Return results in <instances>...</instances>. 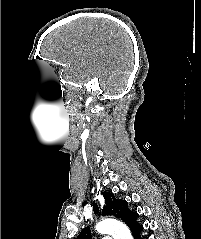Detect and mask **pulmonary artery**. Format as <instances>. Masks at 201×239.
<instances>
[{"mask_svg": "<svg viewBox=\"0 0 201 239\" xmlns=\"http://www.w3.org/2000/svg\"><path fill=\"white\" fill-rule=\"evenodd\" d=\"M101 239H113L111 236H103Z\"/></svg>", "mask_w": 201, "mask_h": 239, "instance_id": "obj_1", "label": "pulmonary artery"}]
</instances>
